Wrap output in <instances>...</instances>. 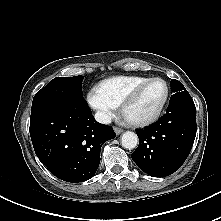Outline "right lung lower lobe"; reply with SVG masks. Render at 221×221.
Wrapping results in <instances>:
<instances>
[{"instance_id":"obj_1","label":"right lung lower lobe","mask_w":221,"mask_h":221,"mask_svg":"<svg viewBox=\"0 0 221 221\" xmlns=\"http://www.w3.org/2000/svg\"><path fill=\"white\" fill-rule=\"evenodd\" d=\"M30 136L37 157L52 174L78 183L95 174L101 147L115 138V133L93 118L82 97L50 102L31 110Z\"/></svg>"}]
</instances>
